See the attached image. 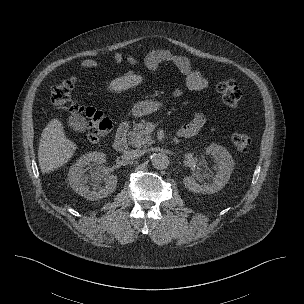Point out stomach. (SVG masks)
I'll return each mask as SVG.
<instances>
[{
    "label": "stomach",
    "instance_id": "0dacf381",
    "mask_svg": "<svg viewBox=\"0 0 304 304\" xmlns=\"http://www.w3.org/2000/svg\"><path fill=\"white\" fill-rule=\"evenodd\" d=\"M162 106L160 102L153 101V100H144L138 103H135L132 108V114L135 117H142L153 112L159 110Z\"/></svg>",
    "mask_w": 304,
    "mask_h": 304
}]
</instances>
